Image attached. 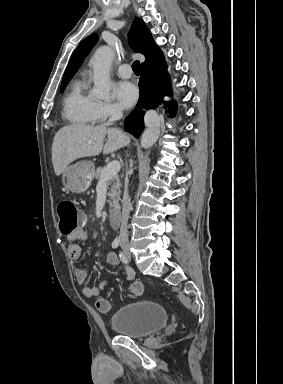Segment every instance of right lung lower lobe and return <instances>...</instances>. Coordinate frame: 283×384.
I'll list each match as a JSON object with an SVG mask.
<instances>
[{"label": "right lung lower lobe", "instance_id": "1", "mask_svg": "<svg viewBox=\"0 0 283 384\" xmlns=\"http://www.w3.org/2000/svg\"><path fill=\"white\" fill-rule=\"evenodd\" d=\"M140 97L134 109L125 119L124 129L135 137H139L144 128L145 110L154 109L162 101L170 90L169 75L166 70V64L152 70H142L139 80ZM169 112L176 113V104L174 102L166 103Z\"/></svg>", "mask_w": 283, "mask_h": 384}]
</instances>
